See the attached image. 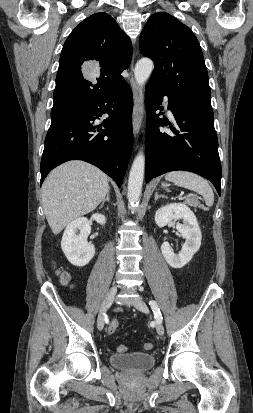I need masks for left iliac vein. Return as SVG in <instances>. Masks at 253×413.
Here are the masks:
<instances>
[{
    "instance_id": "4c4485c4",
    "label": "left iliac vein",
    "mask_w": 253,
    "mask_h": 413,
    "mask_svg": "<svg viewBox=\"0 0 253 413\" xmlns=\"http://www.w3.org/2000/svg\"><path fill=\"white\" fill-rule=\"evenodd\" d=\"M132 303L134 307L138 309L139 311L144 312V313L148 312V306L140 297H135L134 299H132ZM156 331L159 335L164 334V327L161 321L159 320L156 321Z\"/></svg>"
}]
</instances>
